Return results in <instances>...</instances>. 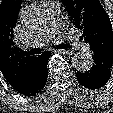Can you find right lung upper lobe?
Wrapping results in <instances>:
<instances>
[{
	"instance_id": "cb5924a9",
	"label": "right lung upper lobe",
	"mask_w": 113,
	"mask_h": 113,
	"mask_svg": "<svg viewBox=\"0 0 113 113\" xmlns=\"http://www.w3.org/2000/svg\"><path fill=\"white\" fill-rule=\"evenodd\" d=\"M22 0H2L0 4V71L11 86L28 73L35 57L19 49L13 28L17 22Z\"/></svg>"
}]
</instances>
